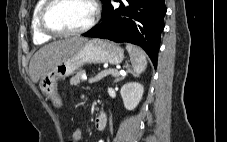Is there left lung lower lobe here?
<instances>
[{"mask_svg": "<svg viewBox=\"0 0 227 142\" xmlns=\"http://www.w3.org/2000/svg\"><path fill=\"white\" fill-rule=\"evenodd\" d=\"M102 11V23L83 34L86 37L129 42L141 46L157 66L160 35L164 29V0H114Z\"/></svg>", "mask_w": 227, "mask_h": 142, "instance_id": "left-lung-lower-lobe-1", "label": "left lung lower lobe"}]
</instances>
